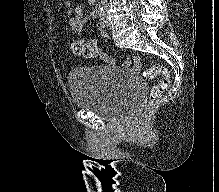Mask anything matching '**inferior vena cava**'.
Returning <instances> with one entry per match:
<instances>
[{
	"label": "inferior vena cava",
	"mask_w": 219,
	"mask_h": 192,
	"mask_svg": "<svg viewBox=\"0 0 219 192\" xmlns=\"http://www.w3.org/2000/svg\"><path fill=\"white\" fill-rule=\"evenodd\" d=\"M105 8L107 7V0H104Z\"/></svg>",
	"instance_id": "inferior-vena-cava-1"
}]
</instances>
